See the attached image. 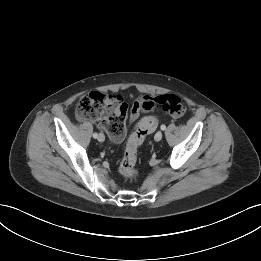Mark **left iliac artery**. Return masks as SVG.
I'll list each match as a JSON object with an SVG mask.
<instances>
[{
    "mask_svg": "<svg viewBox=\"0 0 261 261\" xmlns=\"http://www.w3.org/2000/svg\"><path fill=\"white\" fill-rule=\"evenodd\" d=\"M166 126L165 125H161V130H165Z\"/></svg>",
    "mask_w": 261,
    "mask_h": 261,
    "instance_id": "left-iliac-artery-1",
    "label": "left iliac artery"
}]
</instances>
